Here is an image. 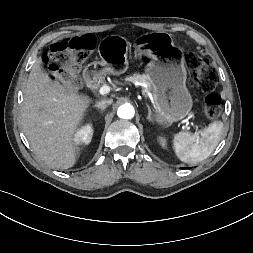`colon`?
I'll use <instances>...</instances> for the list:
<instances>
[{"label": "colon", "instance_id": "colon-1", "mask_svg": "<svg viewBox=\"0 0 253 253\" xmlns=\"http://www.w3.org/2000/svg\"><path fill=\"white\" fill-rule=\"evenodd\" d=\"M94 48V40L91 36H81L68 39L52 45L46 62L55 72H61L62 78L74 84L70 67L74 64L83 62ZM185 63L189 75L196 85L204 92L210 94L204 103V113L209 120L217 119L222 111L220 97L212 93L217 84V74L210 67L207 59L196 53L189 52L185 57Z\"/></svg>", "mask_w": 253, "mask_h": 253}]
</instances>
